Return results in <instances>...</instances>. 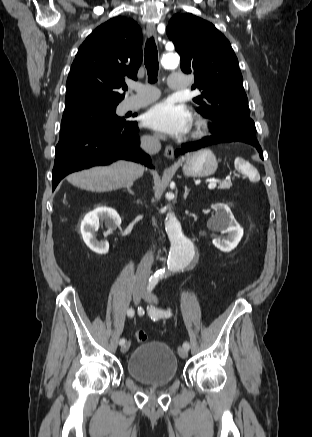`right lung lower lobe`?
<instances>
[{"label": "right lung lower lobe", "instance_id": "right-lung-lower-lobe-1", "mask_svg": "<svg viewBox=\"0 0 312 437\" xmlns=\"http://www.w3.org/2000/svg\"><path fill=\"white\" fill-rule=\"evenodd\" d=\"M55 150L53 190L62 178L72 172L96 165H107L117 159L132 160L149 168L153 167L150 156L139 147L135 121L102 127L59 141Z\"/></svg>", "mask_w": 312, "mask_h": 437}]
</instances>
